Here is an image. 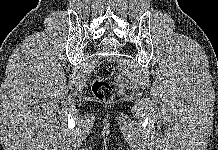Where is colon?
Here are the masks:
<instances>
[{"label":"colon","instance_id":"colon-1","mask_svg":"<svg viewBox=\"0 0 218 150\" xmlns=\"http://www.w3.org/2000/svg\"><path fill=\"white\" fill-rule=\"evenodd\" d=\"M114 74V66L109 60H102L96 67L92 82L93 95L100 101L109 102L113 98V90L109 79Z\"/></svg>","mask_w":218,"mask_h":150}]
</instances>
